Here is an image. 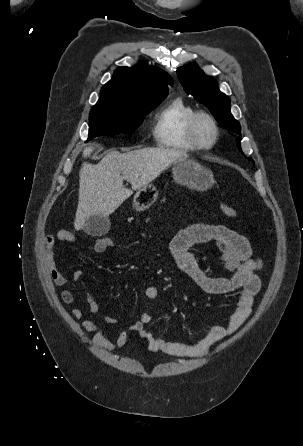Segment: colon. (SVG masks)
I'll use <instances>...</instances> for the list:
<instances>
[{
  "mask_svg": "<svg viewBox=\"0 0 303 446\" xmlns=\"http://www.w3.org/2000/svg\"><path fill=\"white\" fill-rule=\"evenodd\" d=\"M220 209H221L222 213L228 217L233 218V217L237 216V211L232 206H229L227 204H221ZM104 238H105V241H104L105 247H107V248L110 247L111 243L114 241L108 237H104Z\"/></svg>",
  "mask_w": 303,
  "mask_h": 446,
  "instance_id": "colon-1",
  "label": "colon"
}]
</instances>
